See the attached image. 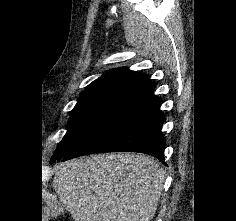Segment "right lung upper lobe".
<instances>
[{
  "label": "right lung upper lobe",
  "mask_w": 236,
  "mask_h": 221,
  "mask_svg": "<svg viewBox=\"0 0 236 221\" xmlns=\"http://www.w3.org/2000/svg\"><path fill=\"white\" fill-rule=\"evenodd\" d=\"M154 84L146 74L123 67L110 70L92 82L80 96L115 92H128L136 95Z\"/></svg>",
  "instance_id": "obj_1"
}]
</instances>
